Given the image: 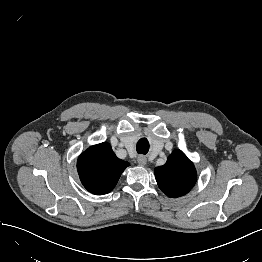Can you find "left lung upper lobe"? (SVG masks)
<instances>
[{"label": "left lung upper lobe", "instance_id": "left-lung-upper-lobe-1", "mask_svg": "<svg viewBox=\"0 0 262 262\" xmlns=\"http://www.w3.org/2000/svg\"><path fill=\"white\" fill-rule=\"evenodd\" d=\"M155 176L159 188L173 198L188 193L197 179L193 163L181 150H174L163 166L155 168Z\"/></svg>", "mask_w": 262, "mask_h": 262}]
</instances>
